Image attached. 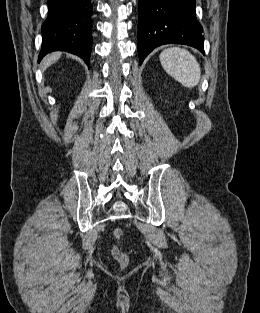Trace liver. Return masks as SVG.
Wrapping results in <instances>:
<instances>
[{
  "label": "liver",
  "mask_w": 260,
  "mask_h": 313,
  "mask_svg": "<svg viewBox=\"0 0 260 313\" xmlns=\"http://www.w3.org/2000/svg\"><path fill=\"white\" fill-rule=\"evenodd\" d=\"M60 57H61V52H54V53L47 55L42 61L41 68L45 70L50 65L58 61Z\"/></svg>",
  "instance_id": "obj_1"
}]
</instances>
